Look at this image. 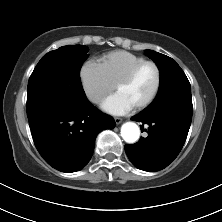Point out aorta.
I'll use <instances>...</instances> for the list:
<instances>
[{
	"label": "aorta",
	"instance_id": "aorta-1",
	"mask_svg": "<svg viewBox=\"0 0 222 222\" xmlns=\"http://www.w3.org/2000/svg\"><path fill=\"white\" fill-rule=\"evenodd\" d=\"M121 136L125 142L133 144L139 140L140 129L133 122H126L121 127Z\"/></svg>",
	"mask_w": 222,
	"mask_h": 222
}]
</instances>
